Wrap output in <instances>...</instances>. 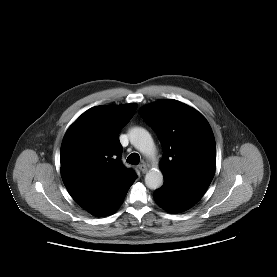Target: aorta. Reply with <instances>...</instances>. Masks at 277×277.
Wrapping results in <instances>:
<instances>
[{"mask_svg":"<svg viewBox=\"0 0 277 277\" xmlns=\"http://www.w3.org/2000/svg\"><path fill=\"white\" fill-rule=\"evenodd\" d=\"M130 143L146 156H154L155 144L150 133L141 127H134L129 131ZM145 184L150 189H158L163 184V174L157 168H152L145 175Z\"/></svg>","mask_w":277,"mask_h":277,"instance_id":"obj_1","label":"aorta"}]
</instances>
